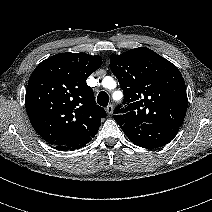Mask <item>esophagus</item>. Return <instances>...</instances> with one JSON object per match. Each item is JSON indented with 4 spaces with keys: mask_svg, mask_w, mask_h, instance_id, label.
I'll return each mask as SVG.
<instances>
[{
    "mask_svg": "<svg viewBox=\"0 0 212 212\" xmlns=\"http://www.w3.org/2000/svg\"><path fill=\"white\" fill-rule=\"evenodd\" d=\"M106 112L111 115L113 113V105L110 104L106 107Z\"/></svg>",
    "mask_w": 212,
    "mask_h": 212,
    "instance_id": "34e87169",
    "label": "esophagus"
}]
</instances>
